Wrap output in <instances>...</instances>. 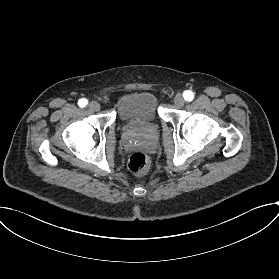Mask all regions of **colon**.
Here are the masks:
<instances>
[{"mask_svg": "<svg viewBox=\"0 0 279 279\" xmlns=\"http://www.w3.org/2000/svg\"><path fill=\"white\" fill-rule=\"evenodd\" d=\"M150 166V161L144 153L136 152L133 153L127 163L129 172L134 175L145 173Z\"/></svg>", "mask_w": 279, "mask_h": 279, "instance_id": "colon-1", "label": "colon"}]
</instances>
